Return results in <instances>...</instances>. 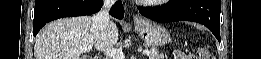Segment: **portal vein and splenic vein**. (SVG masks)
Here are the masks:
<instances>
[{
  "label": "portal vein and splenic vein",
  "instance_id": "18ae733b",
  "mask_svg": "<svg viewBox=\"0 0 261 59\" xmlns=\"http://www.w3.org/2000/svg\"><path fill=\"white\" fill-rule=\"evenodd\" d=\"M92 46H85V47H80L77 50L74 51L75 54H81V53H85L88 52L90 50H92ZM106 56L112 57L113 59H124V54L122 52V50L119 49H108L106 51H104ZM142 54L144 55H150V51L148 50H143Z\"/></svg>",
  "mask_w": 261,
  "mask_h": 59
}]
</instances>
